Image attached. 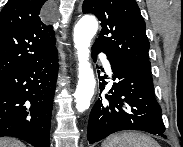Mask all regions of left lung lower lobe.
<instances>
[{
  "label": "left lung lower lobe",
  "instance_id": "0a47b994",
  "mask_svg": "<svg viewBox=\"0 0 183 147\" xmlns=\"http://www.w3.org/2000/svg\"><path fill=\"white\" fill-rule=\"evenodd\" d=\"M103 52L92 47V57ZM108 57L117 82L110 89V95L100 97L93 106L88 124L87 139L90 144L122 130H139L162 135L165 126L161 107L154 95L151 73L145 72L121 60ZM100 77V91L107 83ZM166 137V136H164Z\"/></svg>",
  "mask_w": 183,
  "mask_h": 147
}]
</instances>
